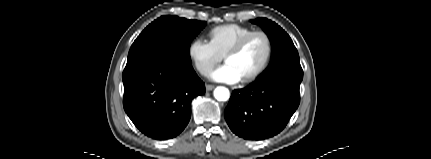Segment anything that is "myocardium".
<instances>
[{"label":"myocardium","mask_w":431,"mask_h":159,"mask_svg":"<svg viewBox=\"0 0 431 159\" xmlns=\"http://www.w3.org/2000/svg\"><path fill=\"white\" fill-rule=\"evenodd\" d=\"M255 36H262L265 39L266 45H267V52H266L265 59H264L263 63L261 64V66L255 72H253L251 75L241 79V82L244 84L251 83V82L257 80L259 77H261L265 73V71L267 70V68L270 65V62H271V59L273 56V42H272V39L269 36V34L266 33L265 31H261V30L252 31V32L246 34L245 36H243L240 40H238L223 55L224 61H226V59L231 57V56L237 55L238 53H240L244 49V47L247 45V43Z\"/></svg>","instance_id":"myocardium-1"}]
</instances>
